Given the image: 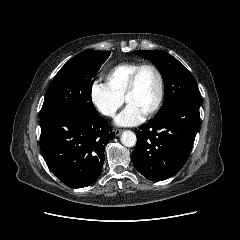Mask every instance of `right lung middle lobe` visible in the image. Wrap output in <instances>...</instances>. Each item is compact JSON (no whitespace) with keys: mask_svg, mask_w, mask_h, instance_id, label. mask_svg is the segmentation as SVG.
Here are the masks:
<instances>
[{"mask_svg":"<svg viewBox=\"0 0 240 240\" xmlns=\"http://www.w3.org/2000/svg\"><path fill=\"white\" fill-rule=\"evenodd\" d=\"M109 51L86 50L68 61L52 80L44 98L40 119L55 112L96 115L91 88L94 76L109 57Z\"/></svg>","mask_w":240,"mask_h":240,"instance_id":"right-lung-middle-lobe-1","label":"right lung middle lobe"}]
</instances>
